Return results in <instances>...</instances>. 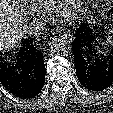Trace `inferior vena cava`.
<instances>
[{"label":"inferior vena cava","instance_id":"1","mask_svg":"<svg viewBox=\"0 0 113 113\" xmlns=\"http://www.w3.org/2000/svg\"><path fill=\"white\" fill-rule=\"evenodd\" d=\"M27 28L30 35L39 36L44 31L45 26L41 19L33 18Z\"/></svg>","mask_w":113,"mask_h":113}]
</instances>
